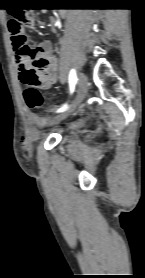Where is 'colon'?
<instances>
[{"label": "colon", "mask_w": 145, "mask_h": 278, "mask_svg": "<svg viewBox=\"0 0 145 278\" xmlns=\"http://www.w3.org/2000/svg\"><path fill=\"white\" fill-rule=\"evenodd\" d=\"M30 23L31 14L28 10H25L24 8H14L12 10L11 20L9 22V32L13 42L18 47H23L27 55H33L32 50L27 45L26 36V28ZM41 80L42 74L36 62H34L33 67L27 70L22 76V81L25 84L23 97L27 106L32 110L39 109L43 105V96L37 88V85ZM30 149V145L23 141V151L28 154Z\"/></svg>", "instance_id": "5ec220e1"}]
</instances>
